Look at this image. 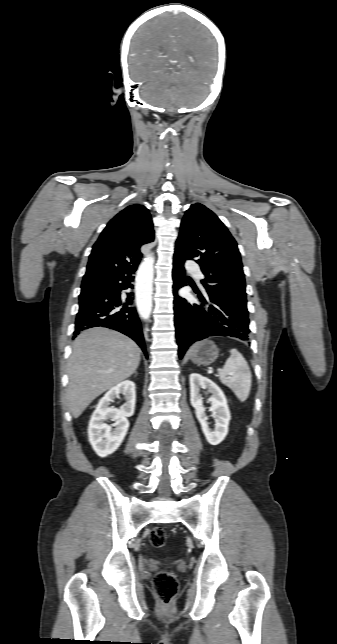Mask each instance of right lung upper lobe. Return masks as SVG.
I'll use <instances>...</instances> for the list:
<instances>
[{
	"instance_id": "right-lung-upper-lobe-1",
	"label": "right lung upper lobe",
	"mask_w": 337,
	"mask_h": 644,
	"mask_svg": "<svg viewBox=\"0 0 337 644\" xmlns=\"http://www.w3.org/2000/svg\"><path fill=\"white\" fill-rule=\"evenodd\" d=\"M153 240L148 209L139 204L126 207L107 224L94 244L82 284L101 282L128 266L138 265L140 247Z\"/></svg>"
}]
</instances>
